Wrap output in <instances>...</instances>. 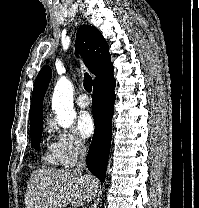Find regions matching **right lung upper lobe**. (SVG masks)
I'll list each match as a JSON object with an SVG mask.
<instances>
[{
	"label": "right lung upper lobe",
	"mask_w": 199,
	"mask_h": 208,
	"mask_svg": "<svg viewBox=\"0 0 199 208\" xmlns=\"http://www.w3.org/2000/svg\"><path fill=\"white\" fill-rule=\"evenodd\" d=\"M75 49L79 52L89 71L95 74L94 86L113 79V64L108 44L94 26H81L76 35ZM51 79V69L44 66L37 75L32 92L29 112L30 130L42 125L43 98Z\"/></svg>",
	"instance_id": "cb5924a9"
}]
</instances>
